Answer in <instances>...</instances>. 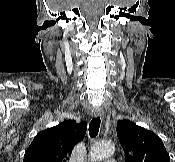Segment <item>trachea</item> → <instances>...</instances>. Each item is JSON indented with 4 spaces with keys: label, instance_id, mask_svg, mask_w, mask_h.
Here are the masks:
<instances>
[{
    "label": "trachea",
    "instance_id": "trachea-1",
    "mask_svg": "<svg viewBox=\"0 0 175 162\" xmlns=\"http://www.w3.org/2000/svg\"><path fill=\"white\" fill-rule=\"evenodd\" d=\"M100 122V117H96L91 120L89 124V135L91 138H95L98 135Z\"/></svg>",
    "mask_w": 175,
    "mask_h": 162
}]
</instances>
